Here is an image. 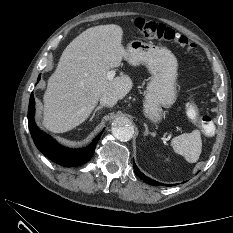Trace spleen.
Returning <instances> with one entry per match:
<instances>
[{
	"label": "spleen",
	"mask_w": 233,
	"mask_h": 233,
	"mask_svg": "<svg viewBox=\"0 0 233 233\" xmlns=\"http://www.w3.org/2000/svg\"><path fill=\"white\" fill-rule=\"evenodd\" d=\"M175 153L182 155L187 162L198 161L202 151V140L198 130L176 136L171 141Z\"/></svg>",
	"instance_id": "obj_1"
}]
</instances>
